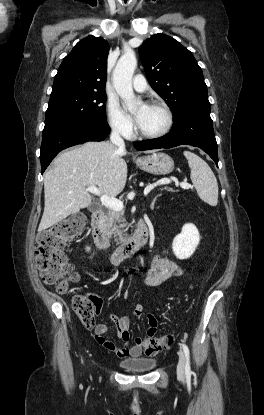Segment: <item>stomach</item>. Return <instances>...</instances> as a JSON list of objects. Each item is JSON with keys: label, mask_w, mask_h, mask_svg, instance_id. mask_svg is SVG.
I'll list each match as a JSON object with an SVG mask.
<instances>
[{"label": "stomach", "mask_w": 264, "mask_h": 415, "mask_svg": "<svg viewBox=\"0 0 264 415\" xmlns=\"http://www.w3.org/2000/svg\"><path fill=\"white\" fill-rule=\"evenodd\" d=\"M136 165L141 170L154 175H166L174 169L173 159L169 155L161 152L138 158Z\"/></svg>", "instance_id": "obj_1"}]
</instances>
